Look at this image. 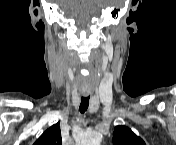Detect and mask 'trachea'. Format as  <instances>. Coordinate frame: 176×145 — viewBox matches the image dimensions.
Listing matches in <instances>:
<instances>
[{"label":"trachea","mask_w":176,"mask_h":145,"mask_svg":"<svg viewBox=\"0 0 176 145\" xmlns=\"http://www.w3.org/2000/svg\"><path fill=\"white\" fill-rule=\"evenodd\" d=\"M89 99L90 97H82L81 103H80V107L79 110L81 113H84L85 111H87V108L89 106Z\"/></svg>","instance_id":"trachea-1"}]
</instances>
